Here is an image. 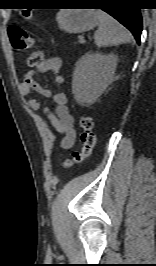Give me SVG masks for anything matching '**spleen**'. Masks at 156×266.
<instances>
[{
	"label": "spleen",
	"instance_id": "obj_1",
	"mask_svg": "<svg viewBox=\"0 0 156 266\" xmlns=\"http://www.w3.org/2000/svg\"><path fill=\"white\" fill-rule=\"evenodd\" d=\"M99 26L94 34V41L97 47L117 46L130 42V35L127 30L113 17L102 10L96 11Z\"/></svg>",
	"mask_w": 156,
	"mask_h": 266
}]
</instances>
